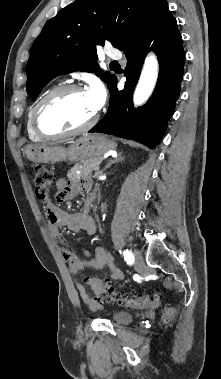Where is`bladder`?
I'll list each match as a JSON object with an SVG mask.
<instances>
[{
    "instance_id": "1",
    "label": "bladder",
    "mask_w": 221,
    "mask_h": 379,
    "mask_svg": "<svg viewBox=\"0 0 221 379\" xmlns=\"http://www.w3.org/2000/svg\"><path fill=\"white\" fill-rule=\"evenodd\" d=\"M110 318L115 324L126 325L132 321L133 316L127 311L119 310L113 312Z\"/></svg>"
}]
</instances>
